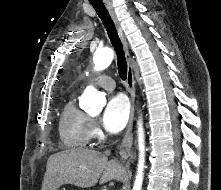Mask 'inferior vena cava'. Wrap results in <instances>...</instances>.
<instances>
[{
  "label": "inferior vena cava",
  "instance_id": "602c4592",
  "mask_svg": "<svg viewBox=\"0 0 221 190\" xmlns=\"http://www.w3.org/2000/svg\"><path fill=\"white\" fill-rule=\"evenodd\" d=\"M104 153L107 155V154H109V153H110V151H109V150H106Z\"/></svg>",
  "mask_w": 221,
  "mask_h": 190
}]
</instances>
